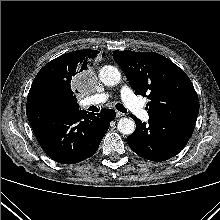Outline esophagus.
<instances>
[{
  "instance_id": "obj_1",
  "label": "esophagus",
  "mask_w": 220,
  "mask_h": 220,
  "mask_svg": "<svg viewBox=\"0 0 220 220\" xmlns=\"http://www.w3.org/2000/svg\"><path fill=\"white\" fill-rule=\"evenodd\" d=\"M122 116H124L123 113H121V112H119V111H116V117H122Z\"/></svg>"
}]
</instances>
